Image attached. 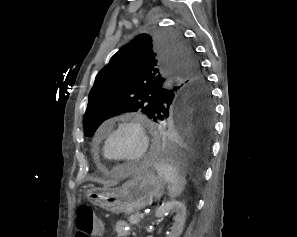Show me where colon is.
I'll return each mask as SVG.
<instances>
[{"instance_id": "1", "label": "colon", "mask_w": 297, "mask_h": 237, "mask_svg": "<svg viewBox=\"0 0 297 237\" xmlns=\"http://www.w3.org/2000/svg\"><path fill=\"white\" fill-rule=\"evenodd\" d=\"M76 237H93L98 224L92 208L87 204H80L76 211Z\"/></svg>"}]
</instances>
